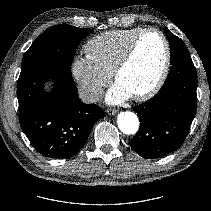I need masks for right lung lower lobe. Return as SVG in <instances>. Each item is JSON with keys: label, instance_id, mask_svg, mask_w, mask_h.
Instances as JSON below:
<instances>
[{"label": "right lung lower lobe", "instance_id": "1", "mask_svg": "<svg viewBox=\"0 0 211 211\" xmlns=\"http://www.w3.org/2000/svg\"><path fill=\"white\" fill-rule=\"evenodd\" d=\"M54 80L51 92L44 83ZM21 127L32 146L43 156L70 158L86 143L93 124L105 116L94 104H84L71 72L54 66L35 68L19 76L17 83Z\"/></svg>", "mask_w": 211, "mask_h": 211}]
</instances>
